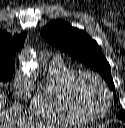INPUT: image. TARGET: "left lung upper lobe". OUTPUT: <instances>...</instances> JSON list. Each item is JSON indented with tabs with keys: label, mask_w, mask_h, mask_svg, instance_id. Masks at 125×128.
I'll return each mask as SVG.
<instances>
[{
	"label": "left lung upper lobe",
	"mask_w": 125,
	"mask_h": 128,
	"mask_svg": "<svg viewBox=\"0 0 125 128\" xmlns=\"http://www.w3.org/2000/svg\"><path fill=\"white\" fill-rule=\"evenodd\" d=\"M41 35L57 49L98 71L110 88L115 89L109 63L100 46L85 31L65 21L55 20L42 29ZM117 117L125 122V111H120Z\"/></svg>",
	"instance_id": "1"
}]
</instances>
